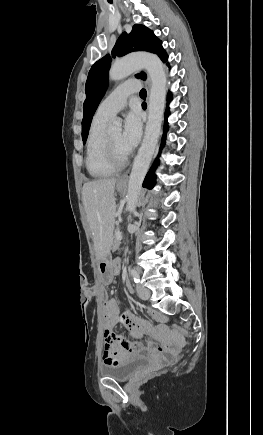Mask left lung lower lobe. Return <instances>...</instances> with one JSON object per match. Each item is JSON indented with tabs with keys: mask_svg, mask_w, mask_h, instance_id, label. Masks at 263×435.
Listing matches in <instances>:
<instances>
[{
	"mask_svg": "<svg viewBox=\"0 0 263 435\" xmlns=\"http://www.w3.org/2000/svg\"><path fill=\"white\" fill-rule=\"evenodd\" d=\"M168 100H171V93L168 94ZM168 115H169V110H168V107H167L166 114H165L166 121H165V126H164V134H163V138H162L161 148L164 145L165 135H166V132L168 130V125H167V117H168ZM157 165H158V159L155 161L153 167L151 168V170L147 174V176H146V178H145V180L143 182V187H146V188H149V189L154 187L155 182H156V177H155L154 172H155V169H156Z\"/></svg>",
	"mask_w": 263,
	"mask_h": 435,
	"instance_id": "obj_1",
	"label": "left lung lower lobe"
}]
</instances>
